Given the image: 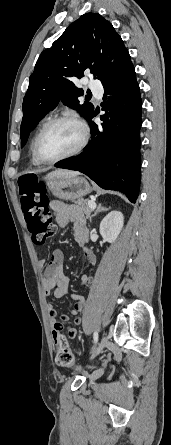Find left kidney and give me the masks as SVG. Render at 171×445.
Returning <instances> with one entry per match:
<instances>
[{
	"label": "left kidney",
	"instance_id": "left-kidney-1",
	"mask_svg": "<svg viewBox=\"0 0 171 445\" xmlns=\"http://www.w3.org/2000/svg\"><path fill=\"white\" fill-rule=\"evenodd\" d=\"M124 224L123 214L119 211H111L100 223V234L109 243L115 242Z\"/></svg>",
	"mask_w": 171,
	"mask_h": 445
}]
</instances>
